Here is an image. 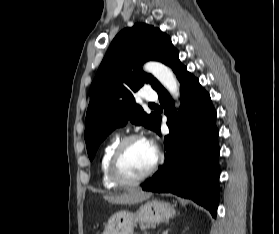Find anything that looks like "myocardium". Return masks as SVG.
<instances>
[{"instance_id": "1", "label": "myocardium", "mask_w": 279, "mask_h": 234, "mask_svg": "<svg viewBox=\"0 0 279 234\" xmlns=\"http://www.w3.org/2000/svg\"><path fill=\"white\" fill-rule=\"evenodd\" d=\"M136 140H144L146 141V138H144L142 135L139 134H131L123 139H121L116 147L114 148L110 161H109V175L112 181L118 185V186H133L141 183L142 181L146 180L148 177H150L158 168L159 164L161 163V154L156 149V156L155 160L152 163V165L147 169L146 172L141 174L140 176L134 177V178H128L125 177L120 170V160L122 157V154L125 150V148L133 141Z\"/></svg>"}]
</instances>
